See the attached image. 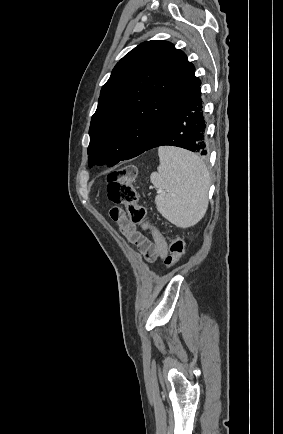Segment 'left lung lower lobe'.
Listing matches in <instances>:
<instances>
[{"label":"left lung lower lobe","instance_id":"1","mask_svg":"<svg viewBox=\"0 0 283 434\" xmlns=\"http://www.w3.org/2000/svg\"><path fill=\"white\" fill-rule=\"evenodd\" d=\"M201 87L189 92L169 113L144 151L171 145L207 155Z\"/></svg>","mask_w":283,"mask_h":434}]
</instances>
